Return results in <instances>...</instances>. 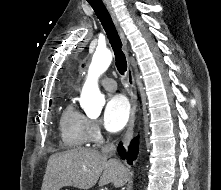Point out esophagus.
Masks as SVG:
<instances>
[{
    "mask_svg": "<svg viewBox=\"0 0 221 190\" xmlns=\"http://www.w3.org/2000/svg\"><path fill=\"white\" fill-rule=\"evenodd\" d=\"M119 34L121 37V40L123 42V48L125 51V54L127 58L129 59L128 49H127V40L125 38V35L120 27L119 21L116 17V14L114 12V9L110 3L109 0H103ZM127 84L129 88V94H130V102H131V112H130V118L127 126L126 133L124 135L123 143L124 146L127 147L132 139L133 136V129H134V122H135V114H136V102H137V95H136V87L134 82V75H133V69L129 62L128 64V70H127Z\"/></svg>",
    "mask_w": 221,
    "mask_h": 190,
    "instance_id": "34e87169",
    "label": "esophagus"
}]
</instances>
